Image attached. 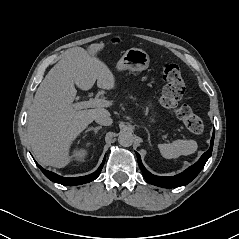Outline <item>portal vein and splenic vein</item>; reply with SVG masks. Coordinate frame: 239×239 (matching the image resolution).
<instances>
[{
    "label": "portal vein and splenic vein",
    "instance_id": "portal-vein-and-splenic-vein-1",
    "mask_svg": "<svg viewBox=\"0 0 239 239\" xmlns=\"http://www.w3.org/2000/svg\"><path fill=\"white\" fill-rule=\"evenodd\" d=\"M112 103L106 99L90 98L88 101L79 102L74 105L76 110L93 108V107H109Z\"/></svg>",
    "mask_w": 239,
    "mask_h": 239
}]
</instances>
